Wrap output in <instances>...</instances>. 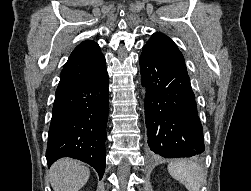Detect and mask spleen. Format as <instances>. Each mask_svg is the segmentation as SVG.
Here are the masks:
<instances>
[{
    "instance_id": "3e777b00",
    "label": "spleen",
    "mask_w": 251,
    "mask_h": 191,
    "mask_svg": "<svg viewBox=\"0 0 251 191\" xmlns=\"http://www.w3.org/2000/svg\"><path fill=\"white\" fill-rule=\"evenodd\" d=\"M168 171L172 177L181 181L188 191H200L204 179L203 169L191 159H177L168 163Z\"/></svg>"
}]
</instances>
